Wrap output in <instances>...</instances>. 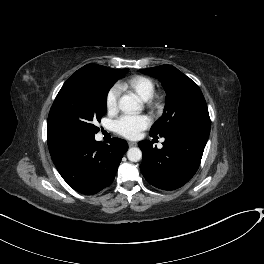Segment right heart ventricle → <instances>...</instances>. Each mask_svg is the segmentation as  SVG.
Segmentation results:
<instances>
[{
    "label": "right heart ventricle",
    "instance_id": "right-heart-ventricle-1",
    "mask_svg": "<svg viewBox=\"0 0 264 264\" xmlns=\"http://www.w3.org/2000/svg\"><path fill=\"white\" fill-rule=\"evenodd\" d=\"M120 87L134 92L144 101L150 100L155 93L154 81L142 75L132 76L128 80L121 82Z\"/></svg>",
    "mask_w": 264,
    "mask_h": 264
}]
</instances>
